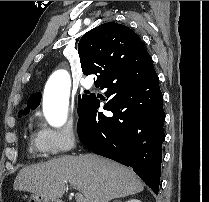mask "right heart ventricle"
<instances>
[{
	"instance_id": "right-heart-ventricle-1",
	"label": "right heart ventricle",
	"mask_w": 209,
	"mask_h": 202,
	"mask_svg": "<svg viewBox=\"0 0 209 202\" xmlns=\"http://www.w3.org/2000/svg\"><path fill=\"white\" fill-rule=\"evenodd\" d=\"M29 154L33 158H42L46 156V153L38 144L37 134L35 133H32L29 137Z\"/></svg>"
}]
</instances>
